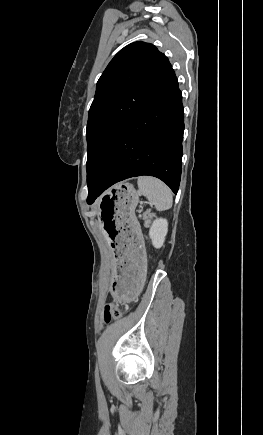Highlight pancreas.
<instances>
[{"instance_id":"cf45deb5","label":"pancreas","mask_w":263,"mask_h":435,"mask_svg":"<svg viewBox=\"0 0 263 435\" xmlns=\"http://www.w3.org/2000/svg\"><path fill=\"white\" fill-rule=\"evenodd\" d=\"M150 217V210H147L145 213H143V220L145 221V225L148 224Z\"/></svg>"}]
</instances>
